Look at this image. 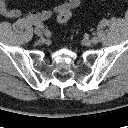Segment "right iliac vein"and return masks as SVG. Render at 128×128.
Segmentation results:
<instances>
[{"label":"right iliac vein","mask_w":128,"mask_h":128,"mask_svg":"<svg viewBox=\"0 0 128 128\" xmlns=\"http://www.w3.org/2000/svg\"><path fill=\"white\" fill-rule=\"evenodd\" d=\"M34 33L37 35V36H39V37H42V31L39 29V28H35L34 29Z\"/></svg>","instance_id":"1"}]
</instances>
